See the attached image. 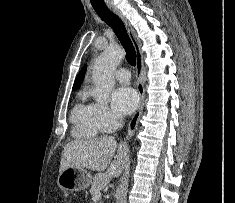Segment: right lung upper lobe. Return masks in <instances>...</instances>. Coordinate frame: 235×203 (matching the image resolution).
<instances>
[{"label":"right lung upper lobe","instance_id":"1","mask_svg":"<svg viewBox=\"0 0 235 203\" xmlns=\"http://www.w3.org/2000/svg\"><path fill=\"white\" fill-rule=\"evenodd\" d=\"M86 65L81 69V71L79 72V74L77 75L76 79H75V82H74V85H73V89H77L79 88V86L81 85V83L83 82V79H84V75H85V72H86Z\"/></svg>","mask_w":235,"mask_h":203}]
</instances>
